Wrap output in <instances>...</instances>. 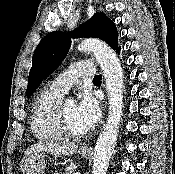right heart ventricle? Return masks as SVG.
I'll return each mask as SVG.
<instances>
[{
	"mask_svg": "<svg viewBox=\"0 0 175 174\" xmlns=\"http://www.w3.org/2000/svg\"><path fill=\"white\" fill-rule=\"evenodd\" d=\"M61 97L62 94L47 88L35 98L30 124L32 132L38 140L53 142L63 139L56 121Z\"/></svg>",
	"mask_w": 175,
	"mask_h": 174,
	"instance_id": "obj_1",
	"label": "right heart ventricle"
}]
</instances>
